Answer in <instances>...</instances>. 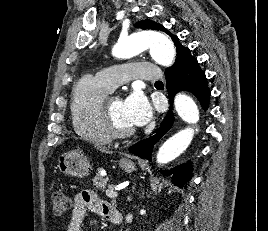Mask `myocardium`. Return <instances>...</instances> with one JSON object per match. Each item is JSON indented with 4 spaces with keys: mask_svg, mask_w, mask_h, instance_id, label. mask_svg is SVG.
I'll return each mask as SVG.
<instances>
[{
    "mask_svg": "<svg viewBox=\"0 0 268 231\" xmlns=\"http://www.w3.org/2000/svg\"><path fill=\"white\" fill-rule=\"evenodd\" d=\"M114 98L120 97L116 95L108 96L103 104V115L106 128L113 138H128L133 136L137 132L136 129H123L116 122L112 111V101Z\"/></svg>",
    "mask_w": 268,
    "mask_h": 231,
    "instance_id": "f54148a6",
    "label": "myocardium"
}]
</instances>
